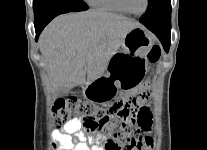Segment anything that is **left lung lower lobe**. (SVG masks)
Wrapping results in <instances>:
<instances>
[{"label":"left lung lower lobe","instance_id":"obj_1","mask_svg":"<svg viewBox=\"0 0 207 150\" xmlns=\"http://www.w3.org/2000/svg\"><path fill=\"white\" fill-rule=\"evenodd\" d=\"M144 25L159 38L165 51L168 52L170 47L171 21Z\"/></svg>","mask_w":207,"mask_h":150}]
</instances>
